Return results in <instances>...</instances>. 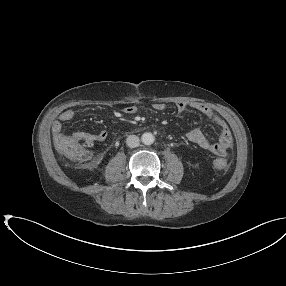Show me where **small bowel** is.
Masks as SVG:
<instances>
[{
	"label": "small bowel",
	"instance_id": "1",
	"mask_svg": "<svg viewBox=\"0 0 286 286\" xmlns=\"http://www.w3.org/2000/svg\"><path fill=\"white\" fill-rule=\"evenodd\" d=\"M152 108L155 111L161 112L164 111L166 105L161 102H156L152 105ZM188 108L196 110L202 114H204L209 120H211L215 125L220 128V137L217 142L211 141L207 136L199 129L194 128L187 133V139L197 145L198 147L210 151L216 155L224 156L226 155L230 149L233 147V136L231 130L227 123L219 118L213 110L206 104L201 102H177L175 104V110L178 113H184ZM124 113L133 115L138 111V107L136 105H129L124 108ZM75 112L72 109H66L62 111L59 115V121H55L52 125V134L55 138L57 135L64 133V128L62 122H70L74 119ZM77 135H81L85 139V146L91 148L97 142H103L106 140L108 134L105 130L89 133V132H77Z\"/></svg>",
	"mask_w": 286,
	"mask_h": 286
}]
</instances>
